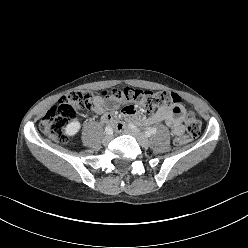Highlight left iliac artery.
<instances>
[{"instance_id": "44dca946", "label": "left iliac artery", "mask_w": 248, "mask_h": 248, "mask_svg": "<svg viewBox=\"0 0 248 248\" xmlns=\"http://www.w3.org/2000/svg\"><path fill=\"white\" fill-rule=\"evenodd\" d=\"M129 126H130L131 128H133V129H135V130H138L133 124H132V125L129 124ZM156 132H157V129H156V128H151L149 131H146V132H145V135H146V136H150V135L156 134Z\"/></svg>"}]
</instances>
